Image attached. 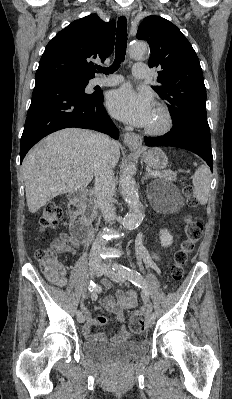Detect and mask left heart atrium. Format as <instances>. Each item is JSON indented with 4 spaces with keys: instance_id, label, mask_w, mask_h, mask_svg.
<instances>
[{
    "instance_id": "1",
    "label": "left heart atrium",
    "mask_w": 232,
    "mask_h": 399,
    "mask_svg": "<svg viewBox=\"0 0 232 399\" xmlns=\"http://www.w3.org/2000/svg\"><path fill=\"white\" fill-rule=\"evenodd\" d=\"M107 109L116 119L143 128L151 121L155 106L148 94L123 87L110 93Z\"/></svg>"
}]
</instances>
